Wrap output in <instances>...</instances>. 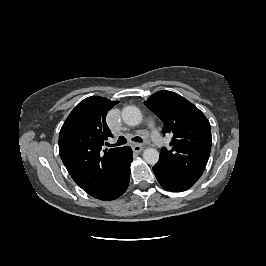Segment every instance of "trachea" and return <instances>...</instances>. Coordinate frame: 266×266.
Segmentation results:
<instances>
[{
    "mask_svg": "<svg viewBox=\"0 0 266 266\" xmlns=\"http://www.w3.org/2000/svg\"><path fill=\"white\" fill-rule=\"evenodd\" d=\"M132 140L135 142H143V139L141 137H138V136L133 137ZM126 143H127V139L124 136H120L118 138V141L113 146H120V145H123Z\"/></svg>",
    "mask_w": 266,
    "mask_h": 266,
    "instance_id": "trachea-1",
    "label": "trachea"
}]
</instances>
